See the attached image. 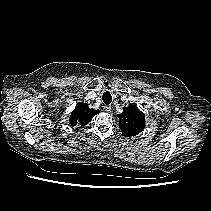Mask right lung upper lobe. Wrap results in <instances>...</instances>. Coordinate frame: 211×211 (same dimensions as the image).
Wrapping results in <instances>:
<instances>
[{"mask_svg":"<svg viewBox=\"0 0 211 211\" xmlns=\"http://www.w3.org/2000/svg\"><path fill=\"white\" fill-rule=\"evenodd\" d=\"M99 112V110L90 109L86 103L78 102L74 111L70 115V124L71 126H85Z\"/></svg>","mask_w":211,"mask_h":211,"instance_id":"obj_1","label":"right lung upper lobe"}]
</instances>
